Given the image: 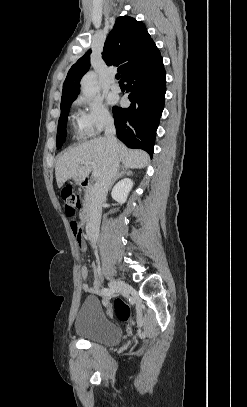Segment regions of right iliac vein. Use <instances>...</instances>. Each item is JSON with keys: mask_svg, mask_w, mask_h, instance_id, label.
<instances>
[{"mask_svg": "<svg viewBox=\"0 0 247 407\" xmlns=\"http://www.w3.org/2000/svg\"><path fill=\"white\" fill-rule=\"evenodd\" d=\"M109 286L121 292L124 296H127L132 291V287L129 284L119 280H111Z\"/></svg>", "mask_w": 247, "mask_h": 407, "instance_id": "1", "label": "right iliac vein"}]
</instances>
